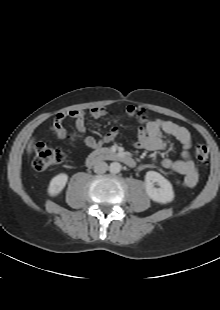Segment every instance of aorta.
<instances>
[{
  "instance_id": "aorta-1",
  "label": "aorta",
  "mask_w": 220,
  "mask_h": 310,
  "mask_svg": "<svg viewBox=\"0 0 220 310\" xmlns=\"http://www.w3.org/2000/svg\"><path fill=\"white\" fill-rule=\"evenodd\" d=\"M121 170V164L118 162H112L109 166V171L113 174L119 173Z\"/></svg>"
}]
</instances>
